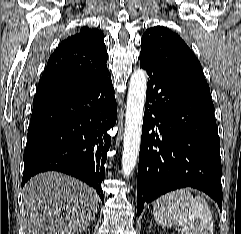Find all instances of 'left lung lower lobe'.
Instances as JSON below:
<instances>
[{"mask_svg": "<svg viewBox=\"0 0 241 234\" xmlns=\"http://www.w3.org/2000/svg\"><path fill=\"white\" fill-rule=\"evenodd\" d=\"M147 70L137 178V214L162 194L192 187L222 210L220 140L207 85L173 74L140 55Z\"/></svg>", "mask_w": 241, "mask_h": 234, "instance_id": "1", "label": "left lung lower lobe"}]
</instances>
